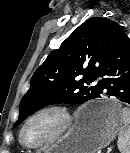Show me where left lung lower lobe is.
I'll use <instances>...</instances> for the list:
<instances>
[{"mask_svg": "<svg viewBox=\"0 0 130 153\" xmlns=\"http://www.w3.org/2000/svg\"><path fill=\"white\" fill-rule=\"evenodd\" d=\"M99 97L108 95L130 104V40L123 32L114 44L101 70ZM106 90V91H105ZM91 111L83 114L91 115Z\"/></svg>", "mask_w": 130, "mask_h": 153, "instance_id": "left-lung-lower-lobe-1", "label": "left lung lower lobe"}]
</instances>
